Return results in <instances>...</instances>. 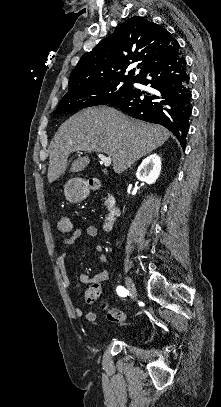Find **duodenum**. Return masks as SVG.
Masks as SVG:
<instances>
[{
  "mask_svg": "<svg viewBox=\"0 0 221 407\" xmlns=\"http://www.w3.org/2000/svg\"><path fill=\"white\" fill-rule=\"evenodd\" d=\"M90 187L92 189L99 190L102 189L104 185L102 183H90ZM120 214L121 208L118 204V201L115 198V196L111 195L109 197V209L104 221L105 227L106 228L110 227Z\"/></svg>",
  "mask_w": 221,
  "mask_h": 407,
  "instance_id": "obj_1",
  "label": "duodenum"
}]
</instances>
